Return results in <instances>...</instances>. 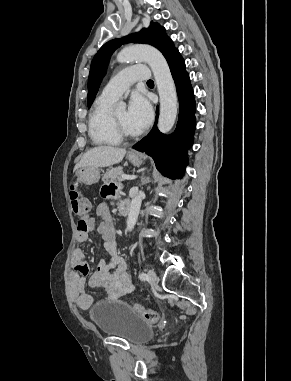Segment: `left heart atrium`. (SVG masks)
<instances>
[{"instance_id": "1", "label": "left heart atrium", "mask_w": 291, "mask_h": 381, "mask_svg": "<svg viewBox=\"0 0 291 381\" xmlns=\"http://www.w3.org/2000/svg\"><path fill=\"white\" fill-rule=\"evenodd\" d=\"M152 116V107L147 98L140 93L133 94L128 107V118L132 127L141 132L150 124Z\"/></svg>"}]
</instances>
